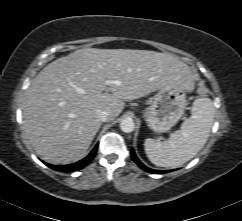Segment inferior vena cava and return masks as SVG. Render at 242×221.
I'll return each mask as SVG.
<instances>
[{"instance_id": "inferior-vena-cava-1", "label": "inferior vena cava", "mask_w": 242, "mask_h": 221, "mask_svg": "<svg viewBox=\"0 0 242 221\" xmlns=\"http://www.w3.org/2000/svg\"><path fill=\"white\" fill-rule=\"evenodd\" d=\"M97 116H98L99 120L102 122L109 121V112L106 110H98Z\"/></svg>"}]
</instances>
